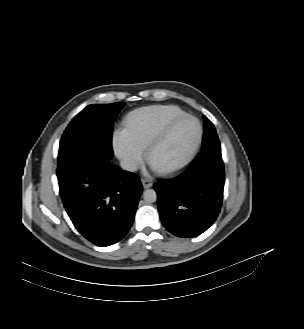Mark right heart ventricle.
<instances>
[{"label": "right heart ventricle", "instance_id": "obj_1", "mask_svg": "<svg viewBox=\"0 0 304 329\" xmlns=\"http://www.w3.org/2000/svg\"><path fill=\"white\" fill-rule=\"evenodd\" d=\"M186 112L176 105H154L133 112L126 120L127 131L134 142L145 150L153 138L174 118Z\"/></svg>", "mask_w": 304, "mask_h": 329}]
</instances>
